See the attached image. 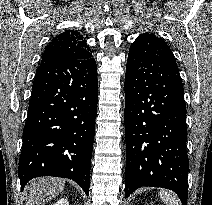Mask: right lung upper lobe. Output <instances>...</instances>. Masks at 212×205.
Listing matches in <instances>:
<instances>
[{
    "label": "right lung upper lobe",
    "mask_w": 212,
    "mask_h": 205,
    "mask_svg": "<svg viewBox=\"0 0 212 205\" xmlns=\"http://www.w3.org/2000/svg\"><path fill=\"white\" fill-rule=\"evenodd\" d=\"M92 57L83 35L75 30H66L56 35L46 46L41 63L65 58L88 59Z\"/></svg>",
    "instance_id": "right-lung-upper-lobe-1"
}]
</instances>
